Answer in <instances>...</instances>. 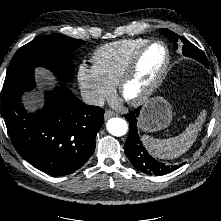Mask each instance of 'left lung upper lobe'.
I'll return each instance as SVG.
<instances>
[{
    "label": "left lung upper lobe",
    "instance_id": "1",
    "mask_svg": "<svg viewBox=\"0 0 221 221\" xmlns=\"http://www.w3.org/2000/svg\"><path fill=\"white\" fill-rule=\"evenodd\" d=\"M159 31L167 39L174 42L176 49L178 48V44L182 46V52L184 56L196 59L197 61L208 67V63L203 52L187 39L179 37L177 34L168 29H159Z\"/></svg>",
    "mask_w": 221,
    "mask_h": 221
}]
</instances>
